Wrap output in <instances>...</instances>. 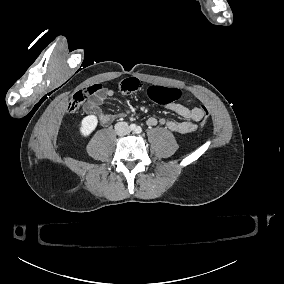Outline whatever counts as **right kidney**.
Here are the masks:
<instances>
[{
    "label": "right kidney",
    "mask_w": 284,
    "mask_h": 284,
    "mask_svg": "<svg viewBox=\"0 0 284 284\" xmlns=\"http://www.w3.org/2000/svg\"><path fill=\"white\" fill-rule=\"evenodd\" d=\"M98 123L95 115H89L82 120L80 132L83 136H88L96 128Z\"/></svg>",
    "instance_id": "right-kidney-1"
}]
</instances>
